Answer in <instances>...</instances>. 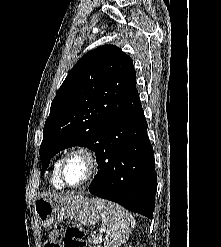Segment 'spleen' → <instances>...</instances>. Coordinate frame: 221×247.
Listing matches in <instances>:
<instances>
[{
    "mask_svg": "<svg viewBox=\"0 0 221 247\" xmlns=\"http://www.w3.org/2000/svg\"><path fill=\"white\" fill-rule=\"evenodd\" d=\"M102 226L107 230L104 247H119L130 237L135 227L133 216L123 207L104 201L100 205Z\"/></svg>",
    "mask_w": 221,
    "mask_h": 247,
    "instance_id": "1",
    "label": "spleen"
}]
</instances>
